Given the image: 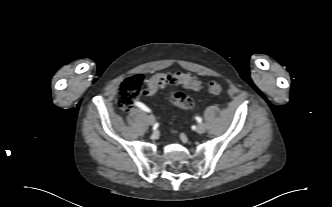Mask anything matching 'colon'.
Here are the masks:
<instances>
[{"mask_svg":"<svg viewBox=\"0 0 332 207\" xmlns=\"http://www.w3.org/2000/svg\"><path fill=\"white\" fill-rule=\"evenodd\" d=\"M143 76L134 75L122 82L117 93V104L123 111H129L134 101L140 96H149L154 94L158 89L168 85H180L187 89L199 91L202 83L196 76L182 72H160L155 74L143 88ZM208 92L214 95L222 94L224 86L219 82H210L208 84ZM170 102L182 109H190L194 102L183 91H173L169 94Z\"/></svg>","mask_w":332,"mask_h":207,"instance_id":"5ec220e1","label":"colon"}]
</instances>
